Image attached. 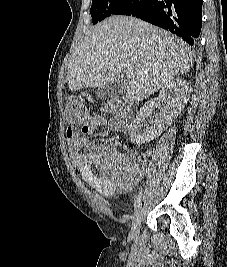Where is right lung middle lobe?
<instances>
[{
	"mask_svg": "<svg viewBox=\"0 0 227 267\" xmlns=\"http://www.w3.org/2000/svg\"><path fill=\"white\" fill-rule=\"evenodd\" d=\"M127 1L129 0H92L90 13L93 24L114 14L122 8Z\"/></svg>",
	"mask_w": 227,
	"mask_h": 267,
	"instance_id": "dd1d6c3e",
	"label": "right lung middle lobe"
}]
</instances>
